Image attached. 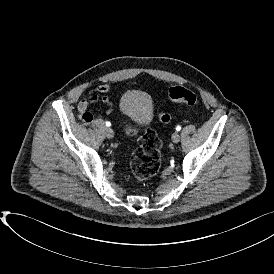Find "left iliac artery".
<instances>
[{"mask_svg":"<svg viewBox=\"0 0 274 274\" xmlns=\"http://www.w3.org/2000/svg\"><path fill=\"white\" fill-rule=\"evenodd\" d=\"M176 130H177V131H180V130H181V126H177V127H176Z\"/></svg>","mask_w":274,"mask_h":274,"instance_id":"44dca946","label":"left iliac artery"}]
</instances>
